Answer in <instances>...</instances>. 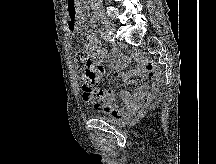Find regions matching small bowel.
Segmentation results:
<instances>
[{"label": "small bowel", "instance_id": "1", "mask_svg": "<svg viewBox=\"0 0 216 164\" xmlns=\"http://www.w3.org/2000/svg\"><path fill=\"white\" fill-rule=\"evenodd\" d=\"M85 44L83 50L78 54V59L83 58L90 62L99 71L101 70V62L106 56V50L103 48L99 40L96 38L92 27L84 30ZM138 65L133 70L124 71L120 74V78L126 81L134 88V92L121 91L120 96L123 100L122 104H117L116 94L113 90L95 87L87 89L83 87V100L91 105L95 110L102 111L111 115L114 119H123L128 117L136 108L138 102L147 94L148 87L138 78L145 76L146 69L140 58H137ZM128 58L119 53H115L111 59L114 67L125 65Z\"/></svg>", "mask_w": 216, "mask_h": 164}]
</instances>
